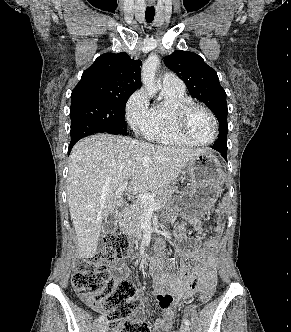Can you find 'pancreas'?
Masks as SVG:
<instances>
[{"label": "pancreas", "instance_id": "obj_1", "mask_svg": "<svg viewBox=\"0 0 291 332\" xmlns=\"http://www.w3.org/2000/svg\"><path fill=\"white\" fill-rule=\"evenodd\" d=\"M177 190V187L165 186L163 188L156 189L148 194L152 195L155 203L165 206L172 198L173 193ZM146 206L138 201L129 207L123 215V219L120 222V228L123 232L133 233L141 232V222L145 214Z\"/></svg>", "mask_w": 291, "mask_h": 332}]
</instances>
